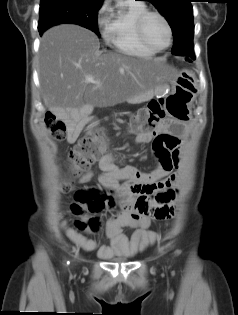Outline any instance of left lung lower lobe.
Instances as JSON below:
<instances>
[{"label": "left lung lower lobe", "mask_w": 238, "mask_h": 315, "mask_svg": "<svg viewBox=\"0 0 238 315\" xmlns=\"http://www.w3.org/2000/svg\"><path fill=\"white\" fill-rule=\"evenodd\" d=\"M174 45L172 53L175 55H185L191 58H195L193 43L182 35L174 36ZM188 60V57L186 58Z\"/></svg>", "instance_id": "0a47b994"}]
</instances>
